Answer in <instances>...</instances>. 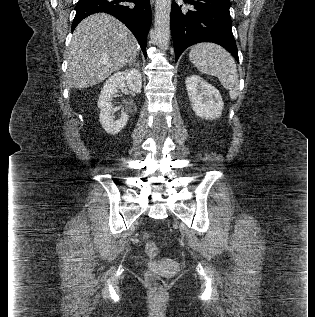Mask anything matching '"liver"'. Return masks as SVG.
<instances>
[{
    "label": "liver",
    "instance_id": "obj_1",
    "mask_svg": "<svg viewBox=\"0 0 315 317\" xmlns=\"http://www.w3.org/2000/svg\"><path fill=\"white\" fill-rule=\"evenodd\" d=\"M139 50L137 40L116 18L98 13L76 27L66 51L67 83L87 88L105 80Z\"/></svg>",
    "mask_w": 315,
    "mask_h": 317
}]
</instances>
